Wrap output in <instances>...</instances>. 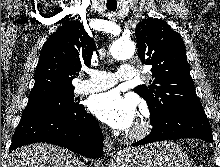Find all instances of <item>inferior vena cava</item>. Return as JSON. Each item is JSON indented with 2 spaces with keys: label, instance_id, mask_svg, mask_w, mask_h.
Masks as SVG:
<instances>
[{
  "label": "inferior vena cava",
  "instance_id": "obj_1",
  "mask_svg": "<svg viewBox=\"0 0 220 167\" xmlns=\"http://www.w3.org/2000/svg\"><path fill=\"white\" fill-rule=\"evenodd\" d=\"M77 167H86V166H83V164L78 163V164H77Z\"/></svg>",
  "mask_w": 220,
  "mask_h": 167
}]
</instances>
